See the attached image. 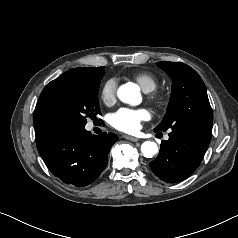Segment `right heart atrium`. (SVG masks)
<instances>
[{"label": "right heart atrium", "instance_id": "obj_1", "mask_svg": "<svg viewBox=\"0 0 238 238\" xmlns=\"http://www.w3.org/2000/svg\"><path fill=\"white\" fill-rule=\"evenodd\" d=\"M117 81L114 78L107 79L101 85L99 96L106 105H112L116 101Z\"/></svg>", "mask_w": 238, "mask_h": 238}]
</instances>
